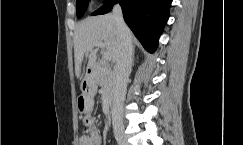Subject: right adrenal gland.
I'll use <instances>...</instances> for the list:
<instances>
[{
  "label": "right adrenal gland",
  "instance_id": "2a0ac1e0",
  "mask_svg": "<svg viewBox=\"0 0 243 145\" xmlns=\"http://www.w3.org/2000/svg\"><path fill=\"white\" fill-rule=\"evenodd\" d=\"M134 52H135V48L133 47V50H132V61L134 62Z\"/></svg>",
  "mask_w": 243,
  "mask_h": 145
}]
</instances>
